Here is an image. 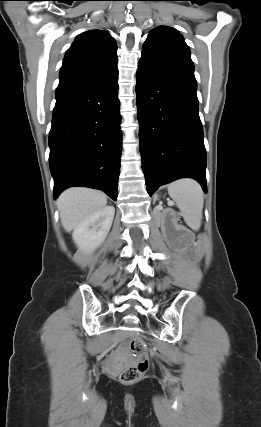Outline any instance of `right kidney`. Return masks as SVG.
Returning a JSON list of instances; mask_svg holds the SVG:
<instances>
[{
    "label": "right kidney",
    "mask_w": 261,
    "mask_h": 427,
    "mask_svg": "<svg viewBox=\"0 0 261 427\" xmlns=\"http://www.w3.org/2000/svg\"><path fill=\"white\" fill-rule=\"evenodd\" d=\"M115 214L113 206H106L80 223L72 237L80 250L90 252L98 248L105 240Z\"/></svg>",
    "instance_id": "ca27d5eb"
}]
</instances>
